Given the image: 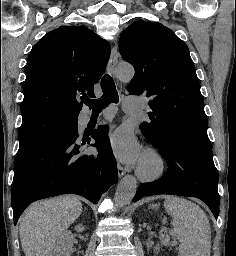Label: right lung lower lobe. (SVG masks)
<instances>
[{
	"mask_svg": "<svg viewBox=\"0 0 236 256\" xmlns=\"http://www.w3.org/2000/svg\"><path fill=\"white\" fill-rule=\"evenodd\" d=\"M107 132V126H98L92 133L95 144H90L89 138L80 143L77 131L56 134L20 149L11 189L14 225L25 208L39 199L78 194L97 204L101 195L118 182ZM88 144L96 146L98 153L86 151Z\"/></svg>",
	"mask_w": 236,
	"mask_h": 256,
	"instance_id": "1",
	"label": "right lung lower lobe"
}]
</instances>
